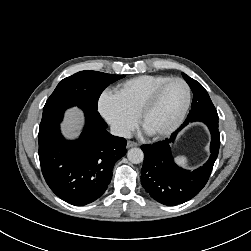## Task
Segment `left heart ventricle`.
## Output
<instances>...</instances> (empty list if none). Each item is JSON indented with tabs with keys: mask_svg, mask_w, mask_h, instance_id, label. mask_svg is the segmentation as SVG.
Listing matches in <instances>:
<instances>
[{
	"mask_svg": "<svg viewBox=\"0 0 251 251\" xmlns=\"http://www.w3.org/2000/svg\"><path fill=\"white\" fill-rule=\"evenodd\" d=\"M186 96V89L182 83L169 84L159 96L155 106L145 116L144 131L155 133L169 127L182 111Z\"/></svg>",
	"mask_w": 251,
	"mask_h": 251,
	"instance_id": "left-heart-ventricle-1",
	"label": "left heart ventricle"
}]
</instances>
